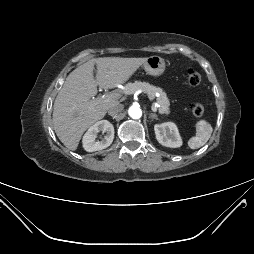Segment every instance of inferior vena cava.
I'll use <instances>...</instances> for the list:
<instances>
[{"instance_id": "1", "label": "inferior vena cava", "mask_w": 254, "mask_h": 254, "mask_svg": "<svg viewBox=\"0 0 254 254\" xmlns=\"http://www.w3.org/2000/svg\"><path fill=\"white\" fill-rule=\"evenodd\" d=\"M124 109V106L120 103L113 104L112 106L109 107L108 109V114L110 116H114L118 113H120Z\"/></svg>"}]
</instances>
